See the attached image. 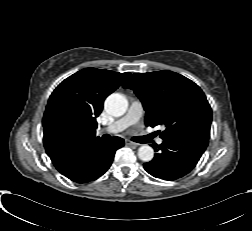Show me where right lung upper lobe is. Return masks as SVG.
I'll return each mask as SVG.
<instances>
[{"instance_id":"right-lung-upper-lobe-1","label":"right lung upper lobe","mask_w":252,"mask_h":231,"mask_svg":"<svg viewBox=\"0 0 252 231\" xmlns=\"http://www.w3.org/2000/svg\"><path fill=\"white\" fill-rule=\"evenodd\" d=\"M130 73L85 68L62 81L51 94L43 117V142L55 168L66 172L77 148L96 137V117L105 98Z\"/></svg>"}]
</instances>
